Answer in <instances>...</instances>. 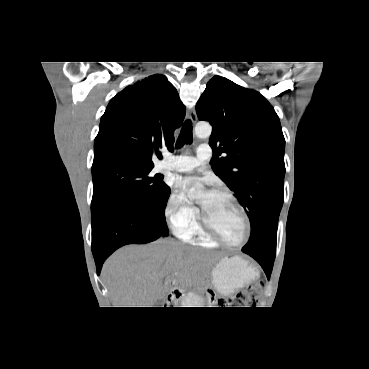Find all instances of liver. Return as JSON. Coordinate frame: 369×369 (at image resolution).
Here are the masks:
<instances>
[{"label": "liver", "mask_w": 369, "mask_h": 369, "mask_svg": "<svg viewBox=\"0 0 369 369\" xmlns=\"http://www.w3.org/2000/svg\"><path fill=\"white\" fill-rule=\"evenodd\" d=\"M216 260L212 252L160 239L119 249L105 262L102 277L114 307H154L169 292L164 280L187 289L202 281Z\"/></svg>", "instance_id": "obj_1"}]
</instances>
